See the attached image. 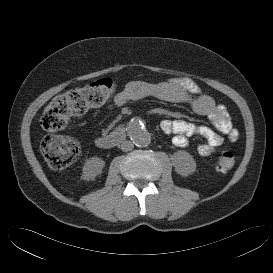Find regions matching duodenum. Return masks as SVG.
Returning a JSON list of instances; mask_svg holds the SVG:
<instances>
[{"label":"duodenum","mask_w":273,"mask_h":273,"mask_svg":"<svg viewBox=\"0 0 273 273\" xmlns=\"http://www.w3.org/2000/svg\"><path fill=\"white\" fill-rule=\"evenodd\" d=\"M125 138H126V131H125V128L122 127V128L116 129L115 131L107 135L97 137L95 142L99 148L108 149V148H113L119 145L125 140Z\"/></svg>","instance_id":"410a0bca"}]
</instances>
